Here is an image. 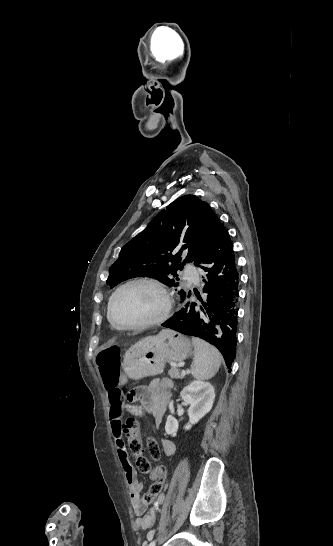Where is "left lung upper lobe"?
<instances>
[{"instance_id":"5c2ea615","label":"left lung upper lobe","mask_w":333,"mask_h":546,"mask_svg":"<svg viewBox=\"0 0 333 546\" xmlns=\"http://www.w3.org/2000/svg\"><path fill=\"white\" fill-rule=\"evenodd\" d=\"M217 221L209 205L196 196L176 199L121 249L106 283L113 288L127 279L149 276L177 287L178 278L173 277L206 251Z\"/></svg>"}]
</instances>
